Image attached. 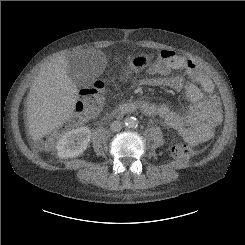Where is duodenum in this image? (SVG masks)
Listing matches in <instances>:
<instances>
[{
	"label": "duodenum",
	"mask_w": 245,
	"mask_h": 245,
	"mask_svg": "<svg viewBox=\"0 0 245 245\" xmlns=\"http://www.w3.org/2000/svg\"><path fill=\"white\" fill-rule=\"evenodd\" d=\"M144 105V102L136 101L122 105L116 112L114 116H123L131 114L137 110H141Z\"/></svg>",
	"instance_id": "duodenum-1"
}]
</instances>
